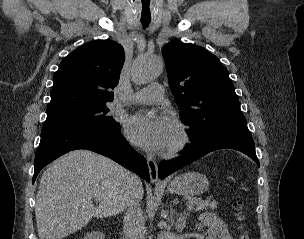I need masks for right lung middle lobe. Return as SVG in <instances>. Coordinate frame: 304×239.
Instances as JSON below:
<instances>
[{"mask_svg": "<svg viewBox=\"0 0 304 239\" xmlns=\"http://www.w3.org/2000/svg\"><path fill=\"white\" fill-rule=\"evenodd\" d=\"M108 111L106 105H103L47 116L42 132L65 129L117 132L120 130V124L113 120L112 116L106 115Z\"/></svg>", "mask_w": 304, "mask_h": 239, "instance_id": "1", "label": "right lung middle lobe"}]
</instances>
